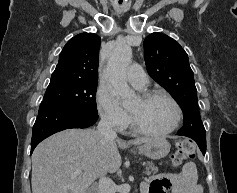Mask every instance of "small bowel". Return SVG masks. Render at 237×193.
Listing matches in <instances>:
<instances>
[{
	"mask_svg": "<svg viewBox=\"0 0 237 193\" xmlns=\"http://www.w3.org/2000/svg\"><path fill=\"white\" fill-rule=\"evenodd\" d=\"M203 193V187L193 162L185 163L178 174H158L144 182L141 193Z\"/></svg>",
	"mask_w": 237,
	"mask_h": 193,
	"instance_id": "small-bowel-1",
	"label": "small bowel"
}]
</instances>
